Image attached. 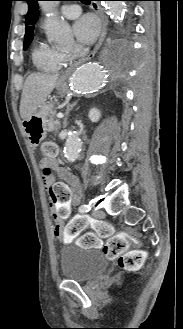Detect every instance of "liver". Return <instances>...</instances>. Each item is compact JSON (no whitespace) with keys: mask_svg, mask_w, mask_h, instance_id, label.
<instances>
[{"mask_svg":"<svg viewBox=\"0 0 183 329\" xmlns=\"http://www.w3.org/2000/svg\"><path fill=\"white\" fill-rule=\"evenodd\" d=\"M58 75L43 73L30 74L22 90L20 115L23 120L29 119L46 101L56 86Z\"/></svg>","mask_w":183,"mask_h":329,"instance_id":"obj_1","label":"liver"}]
</instances>
